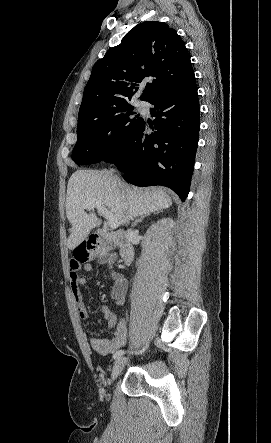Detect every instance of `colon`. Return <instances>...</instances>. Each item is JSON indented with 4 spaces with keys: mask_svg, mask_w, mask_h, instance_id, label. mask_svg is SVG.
Listing matches in <instances>:
<instances>
[{
    "mask_svg": "<svg viewBox=\"0 0 271 443\" xmlns=\"http://www.w3.org/2000/svg\"><path fill=\"white\" fill-rule=\"evenodd\" d=\"M100 259L109 262L112 259L111 246L97 237L82 242L74 251L73 260L77 263H86L88 261Z\"/></svg>",
    "mask_w": 271,
    "mask_h": 443,
    "instance_id": "1",
    "label": "colon"
}]
</instances>
